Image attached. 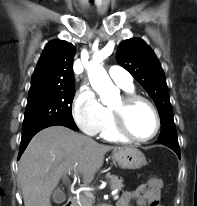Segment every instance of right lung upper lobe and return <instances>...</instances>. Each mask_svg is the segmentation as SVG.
<instances>
[{"label":"right lung upper lobe","mask_w":197,"mask_h":206,"mask_svg":"<svg viewBox=\"0 0 197 206\" xmlns=\"http://www.w3.org/2000/svg\"><path fill=\"white\" fill-rule=\"evenodd\" d=\"M75 47L64 40H52L46 46L32 75L30 89L75 86L73 57Z\"/></svg>","instance_id":"right-lung-upper-lobe-1"}]
</instances>
